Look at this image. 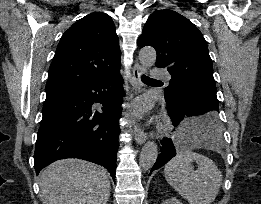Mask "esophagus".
<instances>
[{"label":"esophagus","instance_id":"34e87169","mask_svg":"<svg viewBox=\"0 0 261 204\" xmlns=\"http://www.w3.org/2000/svg\"><path fill=\"white\" fill-rule=\"evenodd\" d=\"M145 71H146L145 68L141 66L138 62L134 64L133 80H134V86L136 91L142 87L141 76L142 74L145 73ZM133 133H134L135 141L138 144L141 145L147 140L148 137L147 133L143 129H141L138 124H135Z\"/></svg>","mask_w":261,"mask_h":204}]
</instances>
